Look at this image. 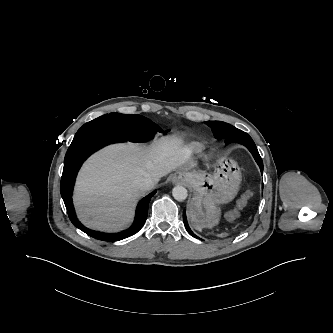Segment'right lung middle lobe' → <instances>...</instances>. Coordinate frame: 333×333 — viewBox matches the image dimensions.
<instances>
[{"label": "right lung middle lobe", "mask_w": 333, "mask_h": 333, "mask_svg": "<svg viewBox=\"0 0 333 333\" xmlns=\"http://www.w3.org/2000/svg\"><path fill=\"white\" fill-rule=\"evenodd\" d=\"M89 131H103L131 142H146L156 132H163L158 125L143 116L120 113L105 114L84 124L75 136Z\"/></svg>", "instance_id": "obj_1"}]
</instances>
